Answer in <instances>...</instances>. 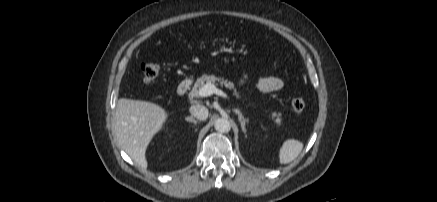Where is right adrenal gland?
<instances>
[{
  "mask_svg": "<svg viewBox=\"0 0 437 202\" xmlns=\"http://www.w3.org/2000/svg\"><path fill=\"white\" fill-rule=\"evenodd\" d=\"M185 120H186L187 122L194 123V125H196V124L198 123V121L195 120L193 117H186Z\"/></svg>",
  "mask_w": 437,
  "mask_h": 202,
  "instance_id": "1",
  "label": "right adrenal gland"
}]
</instances>
